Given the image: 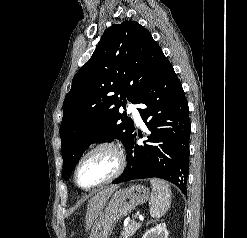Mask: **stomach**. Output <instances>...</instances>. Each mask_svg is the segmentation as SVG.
<instances>
[{
  "mask_svg": "<svg viewBox=\"0 0 247 238\" xmlns=\"http://www.w3.org/2000/svg\"><path fill=\"white\" fill-rule=\"evenodd\" d=\"M150 197L149 189L141 184L116 191L106 208L96 219L89 238H109L116 223Z\"/></svg>",
  "mask_w": 247,
  "mask_h": 238,
  "instance_id": "0dacf381",
  "label": "stomach"
}]
</instances>
